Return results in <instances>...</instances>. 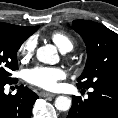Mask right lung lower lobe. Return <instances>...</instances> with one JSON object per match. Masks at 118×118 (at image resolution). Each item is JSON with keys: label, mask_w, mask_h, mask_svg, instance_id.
<instances>
[{"label": "right lung lower lobe", "mask_w": 118, "mask_h": 118, "mask_svg": "<svg viewBox=\"0 0 118 118\" xmlns=\"http://www.w3.org/2000/svg\"><path fill=\"white\" fill-rule=\"evenodd\" d=\"M17 79L8 84L16 83ZM0 84V118H30L32 106L38 99L36 93L21 85L15 95H6Z\"/></svg>", "instance_id": "1"}]
</instances>
